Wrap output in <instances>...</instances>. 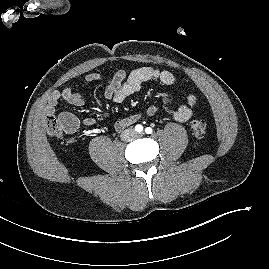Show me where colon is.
Listing matches in <instances>:
<instances>
[{
	"mask_svg": "<svg viewBox=\"0 0 269 269\" xmlns=\"http://www.w3.org/2000/svg\"><path fill=\"white\" fill-rule=\"evenodd\" d=\"M77 128L75 117L70 113H63L60 116L50 114L46 118V129L51 136H61L64 132H74ZM192 133L200 138L207 130V122L204 118H197L191 122Z\"/></svg>",
	"mask_w": 269,
	"mask_h": 269,
	"instance_id": "colon-1",
	"label": "colon"
}]
</instances>
